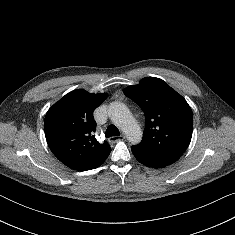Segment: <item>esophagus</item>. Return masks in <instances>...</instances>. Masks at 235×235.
Segmentation results:
<instances>
[{"instance_id": "esophagus-1", "label": "esophagus", "mask_w": 235, "mask_h": 235, "mask_svg": "<svg viewBox=\"0 0 235 235\" xmlns=\"http://www.w3.org/2000/svg\"><path fill=\"white\" fill-rule=\"evenodd\" d=\"M125 138L124 135H120V136H112L109 138V142L110 143H116L117 141L123 140Z\"/></svg>"}]
</instances>
